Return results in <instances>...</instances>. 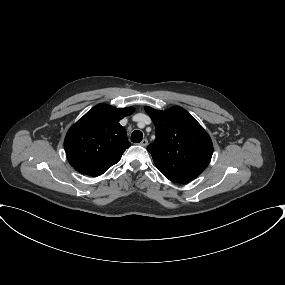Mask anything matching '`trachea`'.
<instances>
[{"label": "trachea", "instance_id": "1", "mask_svg": "<svg viewBox=\"0 0 285 285\" xmlns=\"http://www.w3.org/2000/svg\"><path fill=\"white\" fill-rule=\"evenodd\" d=\"M143 138V133L140 130H135L133 131V133L131 134V141L133 143H139L141 142Z\"/></svg>", "mask_w": 285, "mask_h": 285}]
</instances>
